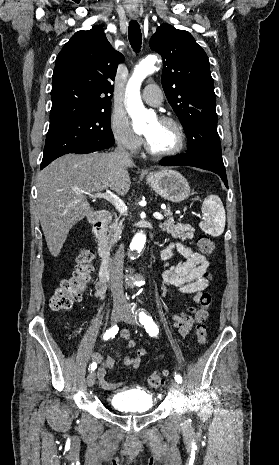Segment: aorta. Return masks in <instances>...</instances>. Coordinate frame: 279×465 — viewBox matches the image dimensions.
<instances>
[{
    "mask_svg": "<svg viewBox=\"0 0 279 465\" xmlns=\"http://www.w3.org/2000/svg\"><path fill=\"white\" fill-rule=\"evenodd\" d=\"M155 56H148L136 66L126 87L127 111L133 120L134 130H141L150 118V112L145 109L141 96L140 87L143 80L155 70ZM146 236L142 232L137 233L130 244L131 253H140L145 245Z\"/></svg>",
    "mask_w": 279,
    "mask_h": 465,
    "instance_id": "762f6f07",
    "label": "aorta"
}]
</instances>
